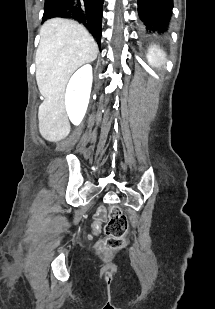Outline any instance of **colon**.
Wrapping results in <instances>:
<instances>
[{
    "mask_svg": "<svg viewBox=\"0 0 215 309\" xmlns=\"http://www.w3.org/2000/svg\"><path fill=\"white\" fill-rule=\"evenodd\" d=\"M127 229V219L122 214L119 207H113L105 224L106 238L96 244L95 250L98 252L116 250L124 243V234Z\"/></svg>",
    "mask_w": 215,
    "mask_h": 309,
    "instance_id": "obj_1",
    "label": "colon"
}]
</instances>
